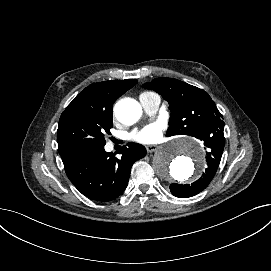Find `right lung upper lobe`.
I'll return each instance as SVG.
<instances>
[{
  "label": "right lung upper lobe",
  "mask_w": 271,
  "mask_h": 271,
  "mask_svg": "<svg viewBox=\"0 0 271 271\" xmlns=\"http://www.w3.org/2000/svg\"><path fill=\"white\" fill-rule=\"evenodd\" d=\"M136 79L111 80L93 83L86 87L71 103L79 100L95 99L113 106V103L136 84Z\"/></svg>",
  "instance_id": "cb5924a9"
}]
</instances>
